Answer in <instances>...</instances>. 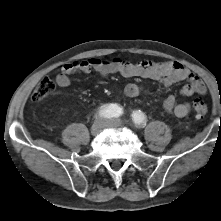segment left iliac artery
I'll return each instance as SVG.
<instances>
[{"instance_id":"obj_1","label":"left iliac artery","mask_w":221,"mask_h":221,"mask_svg":"<svg viewBox=\"0 0 221 221\" xmlns=\"http://www.w3.org/2000/svg\"><path fill=\"white\" fill-rule=\"evenodd\" d=\"M132 120L138 127H144L146 125V115L140 111H134L132 114Z\"/></svg>"}]
</instances>
